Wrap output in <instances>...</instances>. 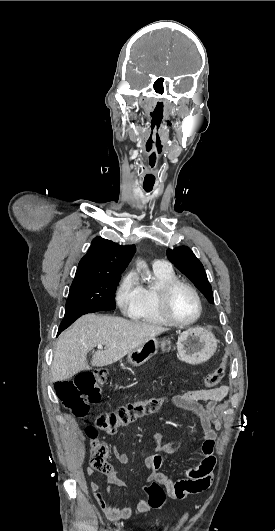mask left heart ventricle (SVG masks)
<instances>
[{"label":"left heart ventricle","mask_w":275,"mask_h":531,"mask_svg":"<svg viewBox=\"0 0 275 531\" xmlns=\"http://www.w3.org/2000/svg\"><path fill=\"white\" fill-rule=\"evenodd\" d=\"M171 314L179 321H189L197 314V303L192 293L182 286L176 287L169 299Z\"/></svg>","instance_id":"obj_1"}]
</instances>
